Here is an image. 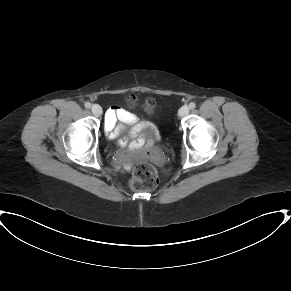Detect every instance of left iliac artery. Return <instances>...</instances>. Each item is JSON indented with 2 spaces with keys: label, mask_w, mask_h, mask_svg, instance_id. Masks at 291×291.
<instances>
[{
  "label": "left iliac artery",
  "mask_w": 291,
  "mask_h": 291,
  "mask_svg": "<svg viewBox=\"0 0 291 291\" xmlns=\"http://www.w3.org/2000/svg\"><path fill=\"white\" fill-rule=\"evenodd\" d=\"M196 107V103L195 102H190L189 103V108L190 109H194Z\"/></svg>",
  "instance_id": "1"
}]
</instances>
